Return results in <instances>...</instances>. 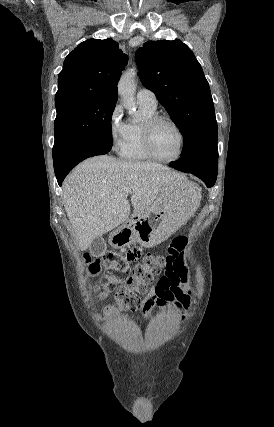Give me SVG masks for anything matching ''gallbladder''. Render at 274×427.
Listing matches in <instances>:
<instances>
[{"mask_svg":"<svg viewBox=\"0 0 274 427\" xmlns=\"http://www.w3.org/2000/svg\"><path fill=\"white\" fill-rule=\"evenodd\" d=\"M90 253L91 255H94V257H100V255H103L106 251V243L103 239V237H95L93 239L92 243L89 245Z\"/></svg>","mask_w":274,"mask_h":427,"instance_id":"bac80fb5","label":"gallbladder"}]
</instances>
